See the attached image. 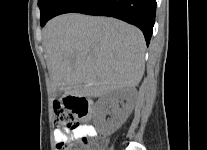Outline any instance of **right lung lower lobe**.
<instances>
[{"label":"right lung lower lobe","instance_id":"1","mask_svg":"<svg viewBox=\"0 0 207 150\" xmlns=\"http://www.w3.org/2000/svg\"><path fill=\"white\" fill-rule=\"evenodd\" d=\"M69 12L126 21L142 30L148 45L155 22L156 0H63L53 17Z\"/></svg>","mask_w":207,"mask_h":150}]
</instances>
